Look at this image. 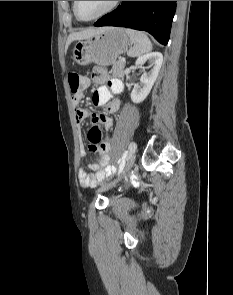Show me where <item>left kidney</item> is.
I'll return each mask as SVG.
<instances>
[{
    "label": "left kidney",
    "instance_id": "obj_1",
    "mask_svg": "<svg viewBox=\"0 0 233 295\" xmlns=\"http://www.w3.org/2000/svg\"><path fill=\"white\" fill-rule=\"evenodd\" d=\"M147 61L150 62L151 70L142 74L140 84H136L130 93L131 100L134 103L144 101L150 93L159 74L163 62V56L160 52H150L140 56L136 60L135 65L142 68V65Z\"/></svg>",
    "mask_w": 233,
    "mask_h": 295
}]
</instances>
